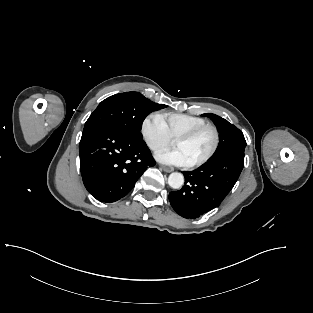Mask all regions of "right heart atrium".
Returning a JSON list of instances; mask_svg holds the SVG:
<instances>
[{
  "label": "right heart atrium",
  "mask_w": 313,
  "mask_h": 313,
  "mask_svg": "<svg viewBox=\"0 0 313 313\" xmlns=\"http://www.w3.org/2000/svg\"><path fill=\"white\" fill-rule=\"evenodd\" d=\"M141 134L149 149L161 151L172 143L160 114H150L142 122Z\"/></svg>",
  "instance_id": "1"
}]
</instances>
